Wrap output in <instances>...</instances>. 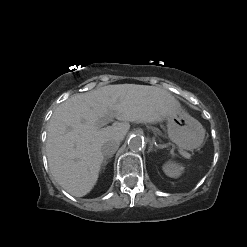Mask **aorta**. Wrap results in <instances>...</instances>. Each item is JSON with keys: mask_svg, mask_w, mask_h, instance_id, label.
<instances>
[{"mask_svg": "<svg viewBox=\"0 0 247 247\" xmlns=\"http://www.w3.org/2000/svg\"><path fill=\"white\" fill-rule=\"evenodd\" d=\"M144 144V138L140 135H132L128 140V147L132 151L141 150Z\"/></svg>", "mask_w": 247, "mask_h": 247, "instance_id": "1", "label": "aorta"}]
</instances>
